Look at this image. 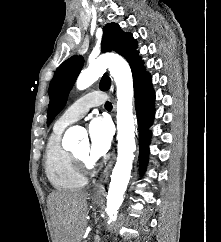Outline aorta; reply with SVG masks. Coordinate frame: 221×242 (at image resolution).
Instances as JSON below:
<instances>
[{
	"mask_svg": "<svg viewBox=\"0 0 221 242\" xmlns=\"http://www.w3.org/2000/svg\"><path fill=\"white\" fill-rule=\"evenodd\" d=\"M106 69H109L115 81L117 93L118 156L111 175L106 205V213L112 221L124 200L136 150L132 72L129 64L122 57L118 55L100 56L80 73L76 87L78 90L88 88L103 76ZM79 138L77 127H71L65 134V140L71 145H75ZM86 141L85 137L84 142Z\"/></svg>",
	"mask_w": 221,
	"mask_h": 242,
	"instance_id": "aorta-1",
	"label": "aorta"
}]
</instances>
